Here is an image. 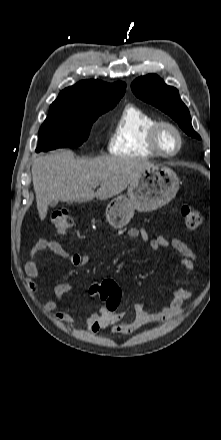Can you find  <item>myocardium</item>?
I'll use <instances>...</instances> for the list:
<instances>
[{"label":"myocardium","mask_w":221,"mask_h":440,"mask_svg":"<svg viewBox=\"0 0 221 440\" xmlns=\"http://www.w3.org/2000/svg\"><path fill=\"white\" fill-rule=\"evenodd\" d=\"M164 128L171 129L175 133L176 138H177V146L171 152L164 151L160 145V134H161L162 129H164ZM148 139H149V146H150L151 150L153 151V153L156 156L163 157V158H172V157L176 156L177 154L180 153V151L183 147V135H182L181 130L179 129V127L177 125H175L174 123H172L170 121H166V120L156 121L150 127L149 133H148Z\"/></svg>","instance_id":"1"}]
</instances>
